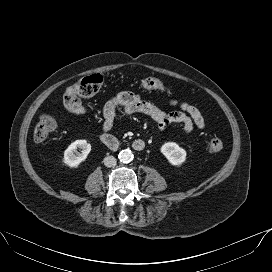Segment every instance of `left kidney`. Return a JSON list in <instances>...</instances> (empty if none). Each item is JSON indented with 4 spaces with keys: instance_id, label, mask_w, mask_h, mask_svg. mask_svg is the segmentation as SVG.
I'll return each instance as SVG.
<instances>
[{
    "instance_id": "left-kidney-1",
    "label": "left kidney",
    "mask_w": 272,
    "mask_h": 272,
    "mask_svg": "<svg viewBox=\"0 0 272 272\" xmlns=\"http://www.w3.org/2000/svg\"><path fill=\"white\" fill-rule=\"evenodd\" d=\"M161 153L174 166L181 165L186 160V151L175 142H167L162 145Z\"/></svg>"
}]
</instances>
